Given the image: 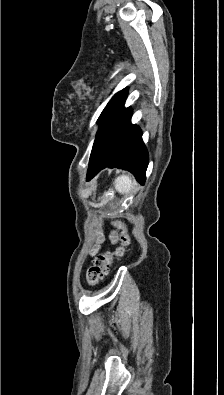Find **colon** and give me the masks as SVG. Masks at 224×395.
Returning a JSON list of instances; mask_svg holds the SVG:
<instances>
[{
  "mask_svg": "<svg viewBox=\"0 0 224 395\" xmlns=\"http://www.w3.org/2000/svg\"><path fill=\"white\" fill-rule=\"evenodd\" d=\"M130 242L128 233L122 235L120 242L114 248L97 254L93 264L87 269L86 278L90 286H95L104 277L113 261L121 258Z\"/></svg>",
  "mask_w": 224,
  "mask_h": 395,
  "instance_id": "colon-1",
  "label": "colon"
}]
</instances>
